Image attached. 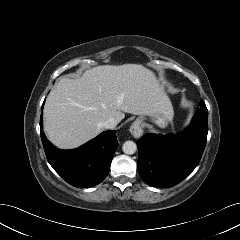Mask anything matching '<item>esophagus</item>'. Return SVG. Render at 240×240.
<instances>
[{
  "label": "esophagus",
  "instance_id": "esophagus-1",
  "mask_svg": "<svg viewBox=\"0 0 240 240\" xmlns=\"http://www.w3.org/2000/svg\"><path fill=\"white\" fill-rule=\"evenodd\" d=\"M130 133L135 137L139 138L143 134L142 123L139 119L135 120L130 126Z\"/></svg>",
  "mask_w": 240,
  "mask_h": 240
}]
</instances>
